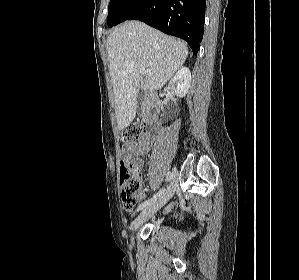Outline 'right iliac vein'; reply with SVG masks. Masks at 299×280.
I'll return each instance as SVG.
<instances>
[{"mask_svg": "<svg viewBox=\"0 0 299 280\" xmlns=\"http://www.w3.org/2000/svg\"><path fill=\"white\" fill-rule=\"evenodd\" d=\"M172 180L167 187V190L152 204L147 206L137 217L136 219L131 223V241L133 242V233L149 218H151L161 207H163L173 196L175 193L177 187H178V173L176 169H173L172 172Z\"/></svg>", "mask_w": 299, "mask_h": 280, "instance_id": "obj_1", "label": "right iliac vein"}]
</instances>
